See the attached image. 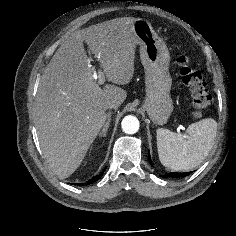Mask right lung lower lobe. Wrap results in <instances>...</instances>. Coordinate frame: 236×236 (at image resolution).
<instances>
[{
	"label": "right lung lower lobe",
	"mask_w": 236,
	"mask_h": 236,
	"mask_svg": "<svg viewBox=\"0 0 236 236\" xmlns=\"http://www.w3.org/2000/svg\"><path fill=\"white\" fill-rule=\"evenodd\" d=\"M105 169H106V168H105ZM105 169H104V170H105ZM104 170H103V172H104ZM103 172L100 173L99 175L94 176L93 178H91L89 181H87L86 184H91V183H93V182H96L99 178H101V176L103 175ZM84 184H85V183H82V184L77 183L76 185H78V186H82V185H84Z\"/></svg>",
	"instance_id": "obj_1"
}]
</instances>
